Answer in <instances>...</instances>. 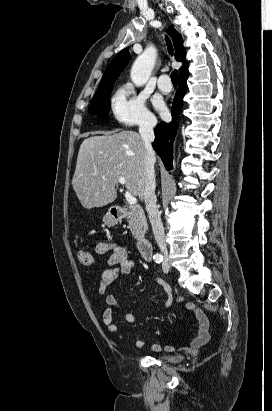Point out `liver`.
Segmentation results:
<instances>
[{"label":"liver","instance_id":"6515ba94","mask_svg":"<svg viewBox=\"0 0 272 411\" xmlns=\"http://www.w3.org/2000/svg\"><path fill=\"white\" fill-rule=\"evenodd\" d=\"M145 145L133 131L92 136L79 149L73 189L86 209L103 207L117 197L118 178L128 191L142 199L145 186Z\"/></svg>","mask_w":272,"mask_h":411}]
</instances>
